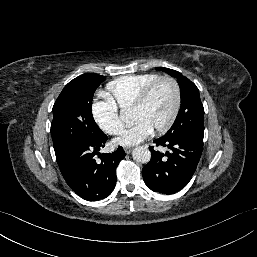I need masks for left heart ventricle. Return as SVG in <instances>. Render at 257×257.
Instances as JSON below:
<instances>
[{"mask_svg": "<svg viewBox=\"0 0 257 257\" xmlns=\"http://www.w3.org/2000/svg\"><path fill=\"white\" fill-rule=\"evenodd\" d=\"M173 105V87L164 82L156 88L142 108L131 111L132 121H144L155 130L166 123L172 112Z\"/></svg>", "mask_w": 257, "mask_h": 257, "instance_id": "left-heart-ventricle-1", "label": "left heart ventricle"}]
</instances>
